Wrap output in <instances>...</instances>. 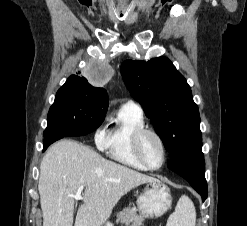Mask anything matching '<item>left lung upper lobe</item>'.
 Returning a JSON list of instances; mask_svg holds the SVG:
<instances>
[{"label": "left lung upper lobe", "mask_w": 247, "mask_h": 226, "mask_svg": "<svg viewBox=\"0 0 247 226\" xmlns=\"http://www.w3.org/2000/svg\"><path fill=\"white\" fill-rule=\"evenodd\" d=\"M121 74L171 158L202 148L198 107L190 86L168 58L126 60Z\"/></svg>", "instance_id": "obj_1"}]
</instances>
